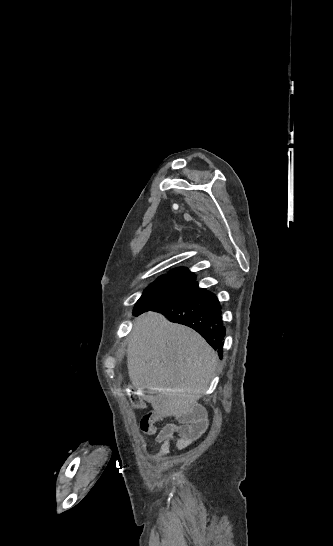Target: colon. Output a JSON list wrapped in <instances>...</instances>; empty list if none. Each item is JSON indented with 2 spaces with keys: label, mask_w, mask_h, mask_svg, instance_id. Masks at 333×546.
I'll use <instances>...</instances> for the list:
<instances>
[{
  "label": "colon",
  "mask_w": 333,
  "mask_h": 546,
  "mask_svg": "<svg viewBox=\"0 0 333 546\" xmlns=\"http://www.w3.org/2000/svg\"><path fill=\"white\" fill-rule=\"evenodd\" d=\"M132 403L137 409H143L145 407L144 401L138 396H132ZM156 422L155 415L153 413H147L140 419L141 430L145 433H153L155 430L154 424Z\"/></svg>",
  "instance_id": "obj_1"
}]
</instances>
